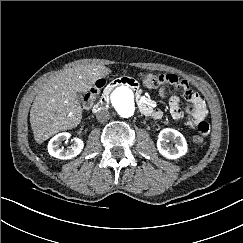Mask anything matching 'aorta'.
Wrapping results in <instances>:
<instances>
[{"instance_id": "762f6f07", "label": "aorta", "mask_w": 243, "mask_h": 243, "mask_svg": "<svg viewBox=\"0 0 243 243\" xmlns=\"http://www.w3.org/2000/svg\"><path fill=\"white\" fill-rule=\"evenodd\" d=\"M111 103L117 112L125 118L131 117L135 112L134 92L125 85L116 87L110 95Z\"/></svg>"}]
</instances>
